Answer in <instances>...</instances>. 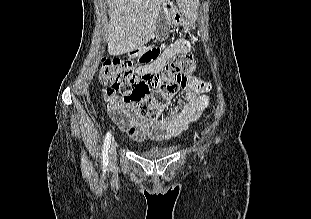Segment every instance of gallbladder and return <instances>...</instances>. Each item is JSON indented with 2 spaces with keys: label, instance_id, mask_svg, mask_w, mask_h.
<instances>
[{
  "label": "gallbladder",
  "instance_id": "gallbladder-1",
  "mask_svg": "<svg viewBox=\"0 0 311 219\" xmlns=\"http://www.w3.org/2000/svg\"><path fill=\"white\" fill-rule=\"evenodd\" d=\"M156 25H157L158 38L160 40L166 39L170 31V24L167 22V20L162 14L158 16Z\"/></svg>",
  "mask_w": 311,
  "mask_h": 219
}]
</instances>
